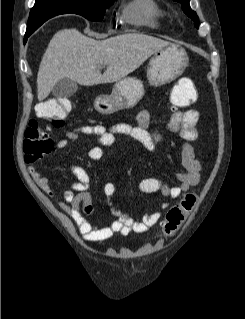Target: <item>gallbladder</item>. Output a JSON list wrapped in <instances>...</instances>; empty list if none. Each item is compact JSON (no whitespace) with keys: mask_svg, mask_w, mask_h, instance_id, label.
I'll return each mask as SVG.
<instances>
[{"mask_svg":"<svg viewBox=\"0 0 245 319\" xmlns=\"http://www.w3.org/2000/svg\"><path fill=\"white\" fill-rule=\"evenodd\" d=\"M78 89V83L69 78L60 79L52 89V94L58 98L73 96Z\"/></svg>","mask_w":245,"mask_h":319,"instance_id":"gallbladder-1","label":"gallbladder"}]
</instances>
